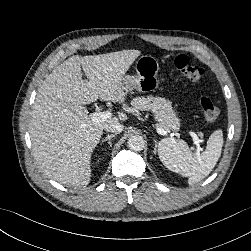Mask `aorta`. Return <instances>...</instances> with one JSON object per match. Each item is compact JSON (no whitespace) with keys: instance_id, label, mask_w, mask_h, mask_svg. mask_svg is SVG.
Masks as SVG:
<instances>
[{"instance_id":"1","label":"aorta","mask_w":251,"mask_h":251,"mask_svg":"<svg viewBox=\"0 0 251 251\" xmlns=\"http://www.w3.org/2000/svg\"><path fill=\"white\" fill-rule=\"evenodd\" d=\"M145 146V140L140 135H132L128 139V147L133 151H141Z\"/></svg>"}]
</instances>
